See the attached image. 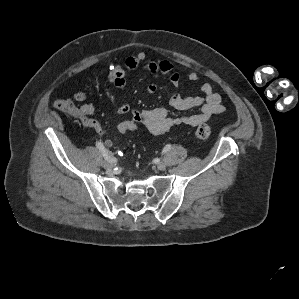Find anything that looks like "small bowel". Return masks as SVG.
<instances>
[{"mask_svg": "<svg viewBox=\"0 0 299 299\" xmlns=\"http://www.w3.org/2000/svg\"><path fill=\"white\" fill-rule=\"evenodd\" d=\"M138 67H142L152 77L144 85L145 93H153L157 84L155 79L159 76H166L174 87H178L180 83V75L174 71L171 61L164 59L160 61H152L147 59L145 52H139L136 55L129 56L124 60V65L115 66L107 74V82L123 89L126 85V75ZM191 82H197L199 76L196 72L188 74ZM202 96L183 97L180 94H174L169 100V108L156 107L145 110H133L128 103L123 102L117 112L120 115L130 114L140 126L145 127L153 135H163L171 131L177 126L195 127L209 120L213 115L221 114L225 111L221 96L214 92L209 83L201 86ZM74 99L82 102L85 100V94L82 91L74 93ZM198 109L197 112L180 116L178 112L190 111ZM81 110L85 115H92L95 111L94 106L90 103L83 104ZM94 129L98 134L102 133L101 125L93 119H90L86 125ZM107 148L112 147V141H105Z\"/></svg>", "mask_w": 299, "mask_h": 299, "instance_id": "1", "label": "small bowel"}]
</instances>
